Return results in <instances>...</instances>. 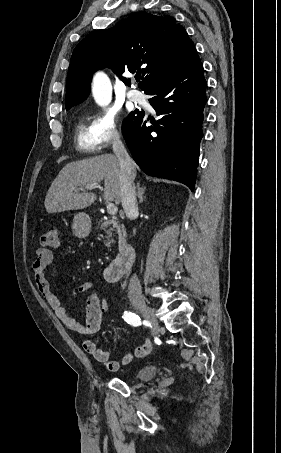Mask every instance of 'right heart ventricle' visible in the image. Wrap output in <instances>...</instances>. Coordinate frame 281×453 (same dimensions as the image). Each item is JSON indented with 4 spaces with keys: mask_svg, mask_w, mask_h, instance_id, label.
I'll return each mask as SVG.
<instances>
[{
    "mask_svg": "<svg viewBox=\"0 0 281 453\" xmlns=\"http://www.w3.org/2000/svg\"><path fill=\"white\" fill-rule=\"evenodd\" d=\"M75 144L77 151L84 155H94L101 149V143L86 114L79 118L76 125Z\"/></svg>",
    "mask_w": 281,
    "mask_h": 453,
    "instance_id": "obj_1",
    "label": "right heart ventricle"
}]
</instances>
